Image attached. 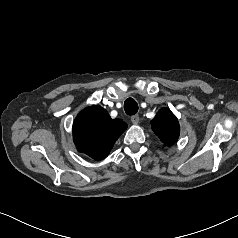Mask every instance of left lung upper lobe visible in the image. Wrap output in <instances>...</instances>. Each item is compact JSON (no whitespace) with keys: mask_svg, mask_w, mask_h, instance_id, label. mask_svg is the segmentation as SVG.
<instances>
[{"mask_svg":"<svg viewBox=\"0 0 238 238\" xmlns=\"http://www.w3.org/2000/svg\"><path fill=\"white\" fill-rule=\"evenodd\" d=\"M151 124L152 130L165 145H171L177 141L180 126L178 119L169 109H161L151 121Z\"/></svg>","mask_w":238,"mask_h":238,"instance_id":"5c2ea615","label":"left lung upper lobe"}]
</instances>
